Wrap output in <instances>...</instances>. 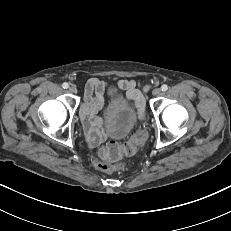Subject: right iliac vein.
<instances>
[{"instance_id": "obj_1", "label": "right iliac vein", "mask_w": 231, "mask_h": 231, "mask_svg": "<svg viewBox=\"0 0 231 231\" xmlns=\"http://www.w3.org/2000/svg\"><path fill=\"white\" fill-rule=\"evenodd\" d=\"M69 92L72 93V94H76L77 93V88L74 85H72V86L69 87Z\"/></svg>"}]
</instances>
